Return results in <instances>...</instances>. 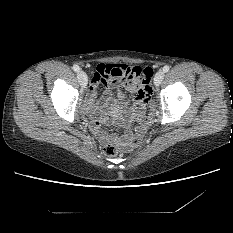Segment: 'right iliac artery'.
Masks as SVG:
<instances>
[{
  "label": "right iliac artery",
  "mask_w": 233,
  "mask_h": 233,
  "mask_svg": "<svg viewBox=\"0 0 233 233\" xmlns=\"http://www.w3.org/2000/svg\"><path fill=\"white\" fill-rule=\"evenodd\" d=\"M73 70L75 72H78L80 70L79 66L78 65H73Z\"/></svg>",
  "instance_id": "right-iliac-artery-1"
}]
</instances>
